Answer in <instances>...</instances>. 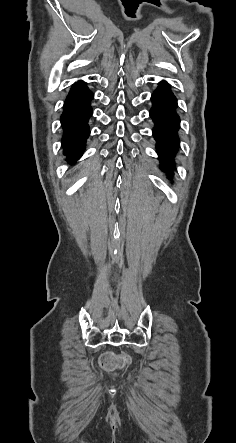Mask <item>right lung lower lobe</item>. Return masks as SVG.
<instances>
[{
    "mask_svg": "<svg viewBox=\"0 0 236 443\" xmlns=\"http://www.w3.org/2000/svg\"><path fill=\"white\" fill-rule=\"evenodd\" d=\"M92 99L93 93L83 81L74 83L66 97L61 126L63 154L67 161L75 162L82 156L90 134L88 120L93 113L90 106Z\"/></svg>",
    "mask_w": 236,
    "mask_h": 443,
    "instance_id": "right-lung-lower-lobe-1",
    "label": "right lung lower lobe"
}]
</instances>
